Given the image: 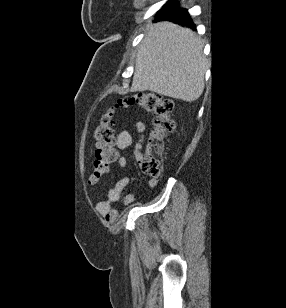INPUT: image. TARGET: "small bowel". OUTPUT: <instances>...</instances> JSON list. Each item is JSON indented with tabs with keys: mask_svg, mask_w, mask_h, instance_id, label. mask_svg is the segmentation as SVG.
<instances>
[{
	"mask_svg": "<svg viewBox=\"0 0 286 308\" xmlns=\"http://www.w3.org/2000/svg\"><path fill=\"white\" fill-rule=\"evenodd\" d=\"M134 127L137 132L134 154L137 160H141L142 153L140 151V148L144 137L143 135L144 125L141 122H137L134 125ZM133 142H134V135L130 131L124 130L118 136L117 146L119 149L124 150L129 148L133 144ZM125 163L126 161L123 157L119 158L118 164L120 166H124ZM129 179H130L129 177H121L117 179L113 183L112 187L109 189L105 199H103L99 203V210L106 216L108 220H113L117 216V211L116 209L113 208V204L120 199L123 190L125 189L127 183L129 182ZM150 185L154 187L156 185V182L151 181ZM133 200L134 196L132 194H128L124 198V203L126 205H129L133 202Z\"/></svg>",
	"mask_w": 286,
	"mask_h": 308,
	"instance_id": "c3829d8e",
	"label": "small bowel"
}]
</instances>
